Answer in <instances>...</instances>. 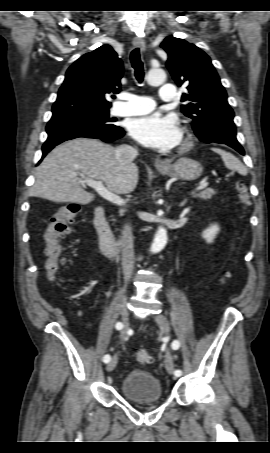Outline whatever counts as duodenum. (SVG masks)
I'll use <instances>...</instances> for the list:
<instances>
[{
    "mask_svg": "<svg viewBox=\"0 0 270 453\" xmlns=\"http://www.w3.org/2000/svg\"><path fill=\"white\" fill-rule=\"evenodd\" d=\"M94 226L98 234L101 251L109 257H115L118 253V247L105 218L103 207L96 208L94 212Z\"/></svg>",
    "mask_w": 270,
    "mask_h": 453,
    "instance_id": "1",
    "label": "duodenum"
}]
</instances>
